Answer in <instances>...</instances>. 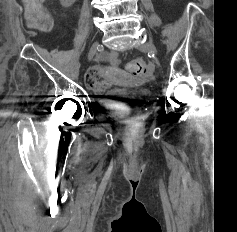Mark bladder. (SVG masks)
<instances>
[{
  "label": "bladder",
  "mask_w": 237,
  "mask_h": 232,
  "mask_svg": "<svg viewBox=\"0 0 237 232\" xmlns=\"http://www.w3.org/2000/svg\"><path fill=\"white\" fill-rule=\"evenodd\" d=\"M121 92L118 90L111 91V96L102 100L100 109L107 114H118L127 107V103L120 99Z\"/></svg>",
  "instance_id": "obj_1"
}]
</instances>
